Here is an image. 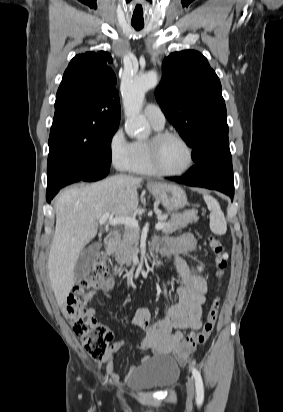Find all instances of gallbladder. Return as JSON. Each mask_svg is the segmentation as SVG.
<instances>
[{
	"mask_svg": "<svg viewBox=\"0 0 283 412\" xmlns=\"http://www.w3.org/2000/svg\"><path fill=\"white\" fill-rule=\"evenodd\" d=\"M100 245L93 244L78 258L75 268L74 277L76 282H80L91 269Z\"/></svg>",
	"mask_w": 283,
	"mask_h": 412,
	"instance_id": "obj_1",
	"label": "gallbladder"
}]
</instances>
